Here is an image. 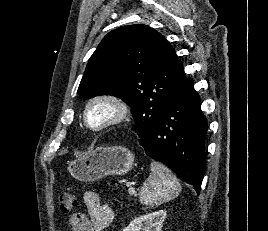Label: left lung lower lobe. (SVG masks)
<instances>
[{"instance_id": "1", "label": "left lung lower lobe", "mask_w": 268, "mask_h": 231, "mask_svg": "<svg viewBox=\"0 0 268 231\" xmlns=\"http://www.w3.org/2000/svg\"><path fill=\"white\" fill-rule=\"evenodd\" d=\"M207 120L200 96L188 79L169 99L155 125L139 142L145 153L166 164L200 192L205 172Z\"/></svg>"}]
</instances>
